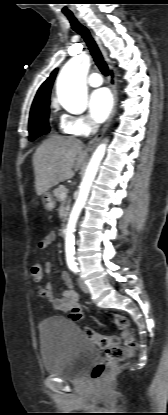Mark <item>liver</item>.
Here are the masks:
<instances>
[{"label": "liver", "instance_id": "6515ba94", "mask_svg": "<svg viewBox=\"0 0 168 415\" xmlns=\"http://www.w3.org/2000/svg\"><path fill=\"white\" fill-rule=\"evenodd\" d=\"M87 152L76 138L52 136L33 155L35 188L38 196L59 182L71 179L84 164Z\"/></svg>", "mask_w": 168, "mask_h": 415}]
</instances>
